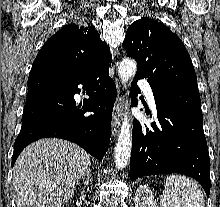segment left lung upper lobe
Masks as SVG:
<instances>
[{
  "label": "left lung upper lobe",
  "instance_id": "5c2ea615",
  "mask_svg": "<svg viewBox=\"0 0 220 207\" xmlns=\"http://www.w3.org/2000/svg\"><path fill=\"white\" fill-rule=\"evenodd\" d=\"M123 47L137 61L136 75L147 78L150 85L175 79L197 82L184 44L162 23L148 17L135 21L127 29Z\"/></svg>",
  "mask_w": 220,
  "mask_h": 207
}]
</instances>
